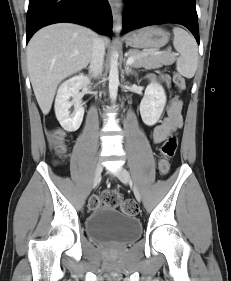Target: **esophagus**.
<instances>
[{"instance_id": "34e87169", "label": "esophagus", "mask_w": 231, "mask_h": 281, "mask_svg": "<svg viewBox=\"0 0 231 281\" xmlns=\"http://www.w3.org/2000/svg\"><path fill=\"white\" fill-rule=\"evenodd\" d=\"M109 4L111 7L112 15H113V20H114V25L113 28L114 30L120 29V14H121V0H109Z\"/></svg>"}]
</instances>
